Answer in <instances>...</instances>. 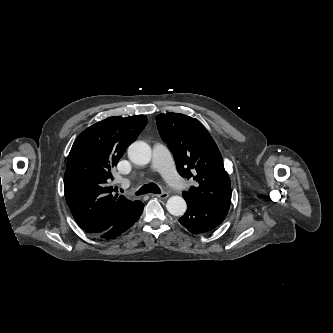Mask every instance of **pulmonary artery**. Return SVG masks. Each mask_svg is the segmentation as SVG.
Masks as SVG:
<instances>
[{"mask_svg": "<svg viewBox=\"0 0 333 333\" xmlns=\"http://www.w3.org/2000/svg\"><path fill=\"white\" fill-rule=\"evenodd\" d=\"M152 168L161 173L167 183L174 187H184V182L177 174L168 149L163 144H156L153 148Z\"/></svg>", "mask_w": 333, "mask_h": 333, "instance_id": "1", "label": "pulmonary artery"}]
</instances>
